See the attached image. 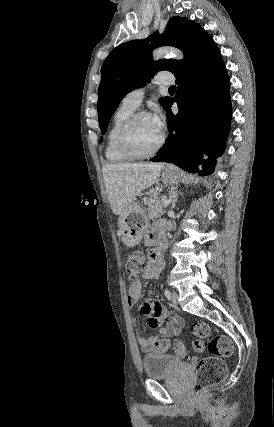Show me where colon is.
<instances>
[{
    "label": "colon",
    "instance_id": "1",
    "mask_svg": "<svg viewBox=\"0 0 274 427\" xmlns=\"http://www.w3.org/2000/svg\"><path fill=\"white\" fill-rule=\"evenodd\" d=\"M144 268L142 253L129 254L126 259V269L131 280H135ZM190 331L196 336L194 342L198 350L205 345L209 357L200 360L196 380L190 389L192 395H206L207 388L221 383L227 376V365L224 359L233 353V347L228 338L220 334H212L210 327L204 322H196L190 326ZM156 349L160 352L173 351L182 358L187 357V349L178 341L161 339L156 342Z\"/></svg>",
    "mask_w": 274,
    "mask_h": 427
}]
</instances>
